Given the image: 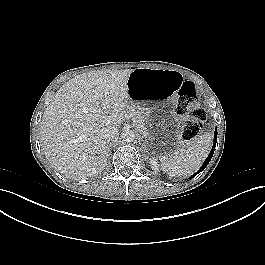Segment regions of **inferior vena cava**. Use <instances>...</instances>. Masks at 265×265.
<instances>
[{"mask_svg":"<svg viewBox=\"0 0 265 265\" xmlns=\"http://www.w3.org/2000/svg\"><path fill=\"white\" fill-rule=\"evenodd\" d=\"M118 135V128L114 126H107L101 129V137L103 139H112Z\"/></svg>","mask_w":265,"mask_h":265,"instance_id":"1","label":"inferior vena cava"}]
</instances>
